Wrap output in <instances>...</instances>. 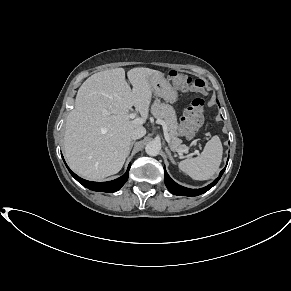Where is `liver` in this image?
<instances>
[{
  "label": "liver",
  "instance_id": "obj_1",
  "mask_svg": "<svg viewBox=\"0 0 291 291\" xmlns=\"http://www.w3.org/2000/svg\"><path fill=\"white\" fill-rule=\"evenodd\" d=\"M160 73L143 67L129 70L132 90L123 68L95 73L81 85L64 133L65 156L75 173L101 180L121 170L133 130L148 117L153 92L149 77ZM132 106L141 118H128Z\"/></svg>",
  "mask_w": 291,
  "mask_h": 291
}]
</instances>
